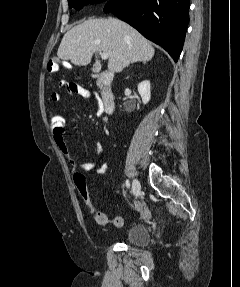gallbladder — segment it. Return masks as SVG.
I'll return each mask as SVG.
<instances>
[{"label": "gallbladder", "instance_id": "bac80fb5", "mask_svg": "<svg viewBox=\"0 0 240 287\" xmlns=\"http://www.w3.org/2000/svg\"><path fill=\"white\" fill-rule=\"evenodd\" d=\"M92 70H93V72H99V71H100V66H99V64H95V65H94V68H93Z\"/></svg>", "mask_w": 240, "mask_h": 287}]
</instances>
